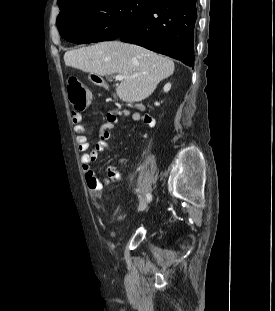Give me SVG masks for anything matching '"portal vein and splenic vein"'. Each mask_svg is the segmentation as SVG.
I'll use <instances>...</instances> for the list:
<instances>
[{"mask_svg": "<svg viewBox=\"0 0 275 311\" xmlns=\"http://www.w3.org/2000/svg\"><path fill=\"white\" fill-rule=\"evenodd\" d=\"M124 78H125L124 75H116V76H115V79H116L117 81H122Z\"/></svg>", "mask_w": 275, "mask_h": 311, "instance_id": "18ae733b", "label": "portal vein and splenic vein"}]
</instances>
